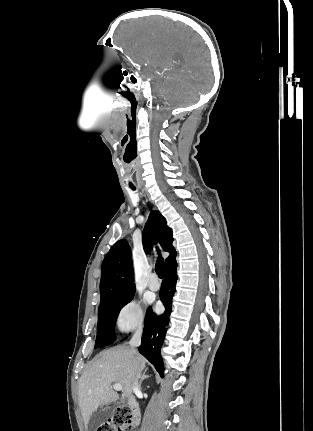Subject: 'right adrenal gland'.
Returning a JSON list of instances; mask_svg holds the SVG:
<instances>
[{"instance_id":"1","label":"right adrenal gland","mask_w":313,"mask_h":431,"mask_svg":"<svg viewBox=\"0 0 313 431\" xmlns=\"http://www.w3.org/2000/svg\"><path fill=\"white\" fill-rule=\"evenodd\" d=\"M147 370H148V368H145L144 372L142 373V376H141V379H140V382H139V387H140V388H141L142 382H143L145 379L150 378V376L146 374Z\"/></svg>"}]
</instances>
